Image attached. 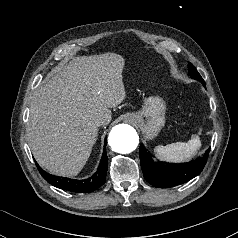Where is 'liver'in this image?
<instances>
[{
  "label": "liver",
  "instance_id": "6515ba94",
  "mask_svg": "<svg viewBox=\"0 0 238 238\" xmlns=\"http://www.w3.org/2000/svg\"><path fill=\"white\" fill-rule=\"evenodd\" d=\"M124 65L115 53L76 57L34 91L26 131L41 167L60 176L82 170L96 141L97 121L108 124L110 108L126 97Z\"/></svg>",
  "mask_w": 238,
  "mask_h": 238
}]
</instances>
